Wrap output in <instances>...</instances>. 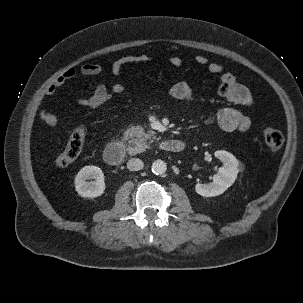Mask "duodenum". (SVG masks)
<instances>
[{"label": "duodenum", "instance_id": "obj_1", "mask_svg": "<svg viewBox=\"0 0 303 303\" xmlns=\"http://www.w3.org/2000/svg\"><path fill=\"white\" fill-rule=\"evenodd\" d=\"M185 148L184 142L178 139H167L160 143V149L168 153H178ZM125 144L121 141H113L104 150L105 161L112 165H119L125 157Z\"/></svg>", "mask_w": 303, "mask_h": 303}]
</instances>
